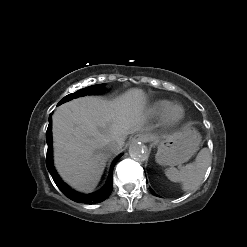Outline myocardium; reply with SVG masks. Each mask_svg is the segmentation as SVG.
I'll use <instances>...</instances> for the list:
<instances>
[{
	"label": "myocardium",
	"mask_w": 247,
	"mask_h": 247,
	"mask_svg": "<svg viewBox=\"0 0 247 247\" xmlns=\"http://www.w3.org/2000/svg\"><path fill=\"white\" fill-rule=\"evenodd\" d=\"M185 112L181 105H171L163 114V120L168 125H176L184 118Z\"/></svg>",
	"instance_id": "obj_1"
}]
</instances>
